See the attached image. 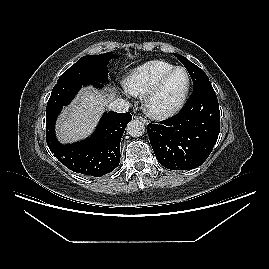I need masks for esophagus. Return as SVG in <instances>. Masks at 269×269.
<instances>
[{"label":"esophagus","mask_w":269,"mask_h":269,"mask_svg":"<svg viewBox=\"0 0 269 269\" xmlns=\"http://www.w3.org/2000/svg\"><path fill=\"white\" fill-rule=\"evenodd\" d=\"M134 118L140 120L141 122H143L146 125L148 124L147 120L144 117L140 116V115H135Z\"/></svg>","instance_id":"1"}]
</instances>
